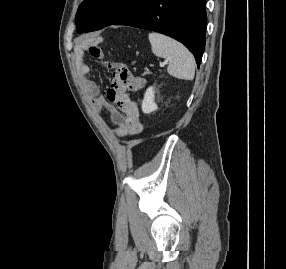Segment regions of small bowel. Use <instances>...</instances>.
<instances>
[{"mask_svg":"<svg viewBox=\"0 0 286 269\" xmlns=\"http://www.w3.org/2000/svg\"><path fill=\"white\" fill-rule=\"evenodd\" d=\"M86 47H88L89 53L100 61H104L105 55L100 46L95 48L93 44H90L89 46L80 44L75 53L77 73L83 79L82 85L94 114L97 116L100 115L103 108H106L109 111L112 122L117 126L112 131V134L116 137L139 134L142 131L140 111L124 109L126 100H129L128 96L119 93L117 88H114V85H111L107 91V99H105L101 95L97 83L87 77L90 68L84 59ZM105 66L108 69L114 70L116 62H105ZM134 78L142 77L135 76ZM144 85L145 83H142V87Z\"/></svg>","mask_w":286,"mask_h":269,"instance_id":"small-bowel-1","label":"small bowel"}]
</instances>
